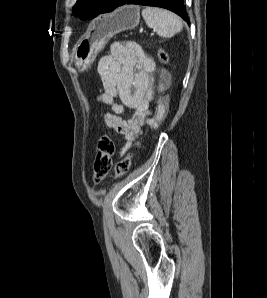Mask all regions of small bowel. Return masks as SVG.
<instances>
[{"label":"small bowel","instance_id":"small-bowel-1","mask_svg":"<svg viewBox=\"0 0 267 298\" xmlns=\"http://www.w3.org/2000/svg\"><path fill=\"white\" fill-rule=\"evenodd\" d=\"M97 70L102 86L97 101L112 110L104 114V125L122 136L124 148L128 149L144 125L156 128L167 112L168 102L164 98L157 101L155 112L150 108L156 64L137 43L117 42L99 60ZM168 81L166 75L163 86ZM127 111L128 117L122 118L121 114Z\"/></svg>","mask_w":267,"mask_h":298}]
</instances>
